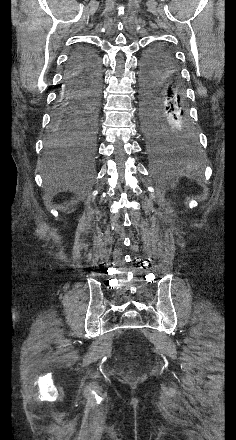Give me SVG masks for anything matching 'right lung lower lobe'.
Returning a JSON list of instances; mask_svg holds the SVG:
<instances>
[{
    "label": "right lung lower lobe",
    "mask_w": 236,
    "mask_h": 440,
    "mask_svg": "<svg viewBox=\"0 0 236 440\" xmlns=\"http://www.w3.org/2000/svg\"><path fill=\"white\" fill-rule=\"evenodd\" d=\"M101 85V66L98 54L88 46H81L71 55L64 77L58 105L53 114L51 130L76 129L83 120L87 101L81 98L87 84Z\"/></svg>",
    "instance_id": "right-lung-lower-lobe-1"
}]
</instances>
